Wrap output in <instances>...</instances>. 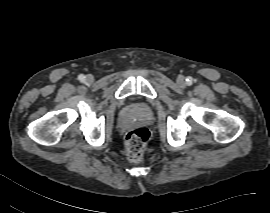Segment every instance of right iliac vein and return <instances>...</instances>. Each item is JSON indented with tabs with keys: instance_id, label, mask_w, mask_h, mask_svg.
<instances>
[{
	"instance_id": "1",
	"label": "right iliac vein",
	"mask_w": 270,
	"mask_h": 213,
	"mask_svg": "<svg viewBox=\"0 0 270 213\" xmlns=\"http://www.w3.org/2000/svg\"><path fill=\"white\" fill-rule=\"evenodd\" d=\"M93 80H94V78H93L92 75H87V76H86V81H87L88 83H92Z\"/></svg>"
}]
</instances>
